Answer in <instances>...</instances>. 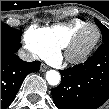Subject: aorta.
I'll return each instance as SVG.
<instances>
[{
	"label": "aorta",
	"mask_w": 109,
	"mask_h": 109,
	"mask_svg": "<svg viewBox=\"0 0 109 109\" xmlns=\"http://www.w3.org/2000/svg\"><path fill=\"white\" fill-rule=\"evenodd\" d=\"M46 80L50 85L56 86L60 83L61 77L58 71L49 70L46 73Z\"/></svg>",
	"instance_id": "1"
}]
</instances>
